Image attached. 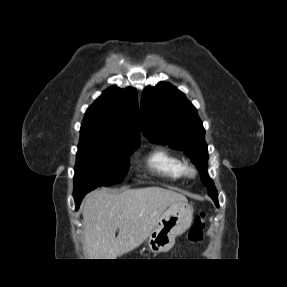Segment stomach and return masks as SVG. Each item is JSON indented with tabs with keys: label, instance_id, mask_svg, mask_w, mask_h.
<instances>
[{
	"label": "stomach",
	"instance_id": "stomach-1",
	"mask_svg": "<svg viewBox=\"0 0 287 287\" xmlns=\"http://www.w3.org/2000/svg\"><path fill=\"white\" fill-rule=\"evenodd\" d=\"M193 212L187 200L171 204L146 239L148 248L155 253L170 250L175 244V238L189 228Z\"/></svg>",
	"mask_w": 287,
	"mask_h": 287
}]
</instances>
